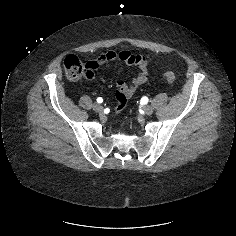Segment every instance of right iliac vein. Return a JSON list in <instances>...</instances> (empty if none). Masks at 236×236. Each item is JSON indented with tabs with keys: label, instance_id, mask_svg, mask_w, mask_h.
<instances>
[{
	"label": "right iliac vein",
	"instance_id": "right-iliac-vein-1",
	"mask_svg": "<svg viewBox=\"0 0 236 236\" xmlns=\"http://www.w3.org/2000/svg\"><path fill=\"white\" fill-rule=\"evenodd\" d=\"M93 109L96 111V112H102L103 111V106L99 103H96L93 105Z\"/></svg>",
	"mask_w": 236,
	"mask_h": 236
}]
</instances>
